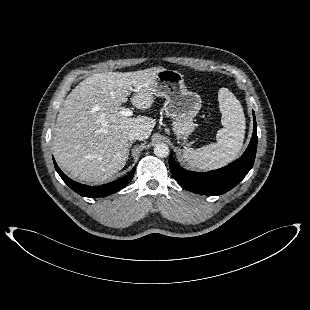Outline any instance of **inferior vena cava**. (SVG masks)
Here are the masks:
<instances>
[{
  "instance_id": "1",
  "label": "inferior vena cava",
  "mask_w": 310,
  "mask_h": 310,
  "mask_svg": "<svg viewBox=\"0 0 310 310\" xmlns=\"http://www.w3.org/2000/svg\"><path fill=\"white\" fill-rule=\"evenodd\" d=\"M128 139L130 141L132 140H143V135L140 131H137V130H131L129 133H128Z\"/></svg>"
}]
</instances>
